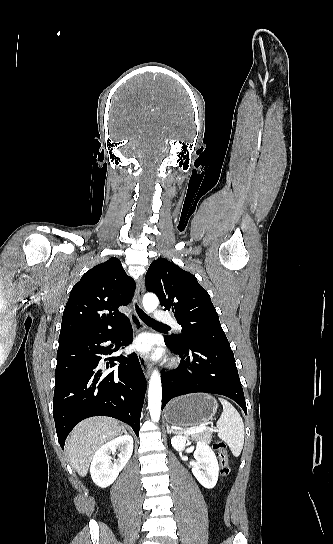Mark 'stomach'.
Returning a JSON list of instances; mask_svg holds the SVG:
<instances>
[{"mask_svg": "<svg viewBox=\"0 0 333 544\" xmlns=\"http://www.w3.org/2000/svg\"><path fill=\"white\" fill-rule=\"evenodd\" d=\"M217 400L210 394L196 393L173 400L166 409V419L176 426L192 427L213 418Z\"/></svg>", "mask_w": 333, "mask_h": 544, "instance_id": "stomach-1", "label": "stomach"}]
</instances>
